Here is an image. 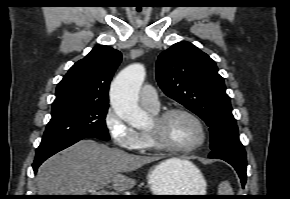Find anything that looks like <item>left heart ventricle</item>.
<instances>
[{
	"mask_svg": "<svg viewBox=\"0 0 290 199\" xmlns=\"http://www.w3.org/2000/svg\"><path fill=\"white\" fill-rule=\"evenodd\" d=\"M155 122L152 119L147 130H153ZM200 130L197 124L183 114L170 116L161 128L160 139L173 147L186 148L200 140Z\"/></svg>",
	"mask_w": 290,
	"mask_h": 199,
	"instance_id": "left-heart-ventricle-1",
	"label": "left heart ventricle"
}]
</instances>
